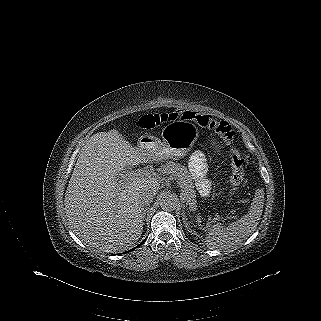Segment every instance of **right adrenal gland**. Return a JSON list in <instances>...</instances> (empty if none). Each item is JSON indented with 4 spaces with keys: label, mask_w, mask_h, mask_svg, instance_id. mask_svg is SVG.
Segmentation results:
<instances>
[{
    "label": "right adrenal gland",
    "mask_w": 321,
    "mask_h": 321,
    "mask_svg": "<svg viewBox=\"0 0 321 321\" xmlns=\"http://www.w3.org/2000/svg\"><path fill=\"white\" fill-rule=\"evenodd\" d=\"M146 211H147V207L144 209V211H143V215H144V217H145V215H146Z\"/></svg>",
    "instance_id": "obj_1"
}]
</instances>
